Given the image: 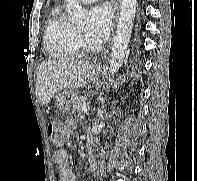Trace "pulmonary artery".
<instances>
[{"instance_id": "1", "label": "pulmonary artery", "mask_w": 197, "mask_h": 181, "mask_svg": "<svg viewBox=\"0 0 197 181\" xmlns=\"http://www.w3.org/2000/svg\"><path fill=\"white\" fill-rule=\"evenodd\" d=\"M82 3H90V2H94L96 0H80Z\"/></svg>"}]
</instances>
